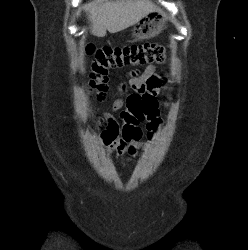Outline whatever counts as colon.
Listing matches in <instances>:
<instances>
[{"label": "colon", "instance_id": "colon-1", "mask_svg": "<svg viewBox=\"0 0 248 250\" xmlns=\"http://www.w3.org/2000/svg\"><path fill=\"white\" fill-rule=\"evenodd\" d=\"M88 53L94 56L91 65L90 87L99 100L107 93L108 73L113 68L124 66H138L162 62L166 57V47L161 44H135L123 47L104 46L94 48L89 46ZM155 77L149 79V83L155 82ZM161 85V81L158 80ZM127 107L133 112L138 120L157 110V101L151 92H135L128 96Z\"/></svg>", "mask_w": 248, "mask_h": 250}]
</instances>
